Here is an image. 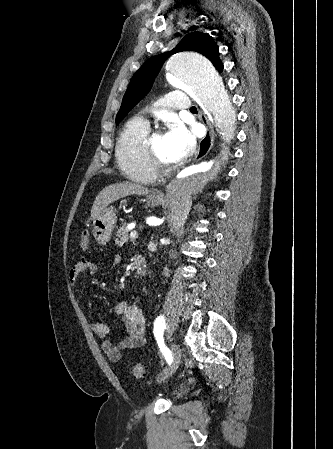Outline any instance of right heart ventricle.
Segmentation results:
<instances>
[{
	"mask_svg": "<svg viewBox=\"0 0 333 449\" xmlns=\"http://www.w3.org/2000/svg\"><path fill=\"white\" fill-rule=\"evenodd\" d=\"M148 132V124L140 118H134L126 123L115 146L119 168L127 178L143 184L152 183L157 177L144 150Z\"/></svg>",
	"mask_w": 333,
	"mask_h": 449,
	"instance_id": "1",
	"label": "right heart ventricle"
}]
</instances>
